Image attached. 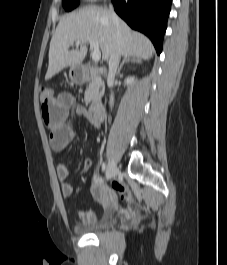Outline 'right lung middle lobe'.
I'll list each match as a JSON object with an SVG mask.
<instances>
[{"mask_svg": "<svg viewBox=\"0 0 227 265\" xmlns=\"http://www.w3.org/2000/svg\"><path fill=\"white\" fill-rule=\"evenodd\" d=\"M63 6L66 11H70L78 6L79 0H62Z\"/></svg>", "mask_w": 227, "mask_h": 265, "instance_id": "1", "label": "right lung middle lobe"}]
</instances>
